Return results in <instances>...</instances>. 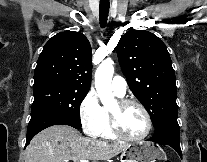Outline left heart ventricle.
<instances>
[{
  "mask_svg": "<svg viewBox=\"0 0 207 162\" xmlns=\"http://www.w3.org/2000/svg\"><path fill=\"white\" fill-rule=\"evenodd\" d=\"M110 111H116L114 104ZM119 126L122 132L128 136H138L146 129L144 113L136 106H129L118 115Z\"/></svg>",
  "mask_w": 207,
  "mask_h": 162,
  "instance_id": "left-heart-ventricle-1",
  "label": "left heart ventricle"
}]
</instances>
